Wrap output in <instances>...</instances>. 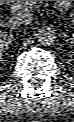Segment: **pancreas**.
<instances>
[{
	"label": "pancreas",
	"mask_w": 74,
	"mask_h": 122,
	"mask_svg": "<svg viewBox=\"0 0 74 122\" xmlns=\"http://www.w3.org/2000/svg\"><path fill=\"white\" fill-rule=\"evenodd\" d=\"M12 3V7L15 8H24L31 10L37 6L39 1H9Z\"/></svg>",
	"instance_id": "pancreas-1"
}]
</instances>
